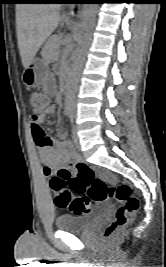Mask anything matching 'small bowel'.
Wrapping results in <instances>:
<instances>
[{
	"instance_id": "obj_1",
	"label": "small bowel",
	"mask_w": 166,
	"mask_h": 267,
	"mask_svg": "<svg viewBox=\"0 0 166 267\" xmlns=\"http://www.w3.org/2000/svg\"><path fill=\"white\" fill-rule=\"evenodd\" d=\"M47 90L52 92L54 87L52 85H48ZM53 112L54 108L51 106L42 113L33 115L30 124L32 137L38 147L39 159L45 165L43 173L47 177L52 174L55 166L65 164L69 161H71L72 164L79 161L75 151L65 140L64 134H59L54 137H46L43 129L41 128V124L43 123L45 116ZM38 131L43 132V139H38Z\"/></svg>"
}]
</instances>
